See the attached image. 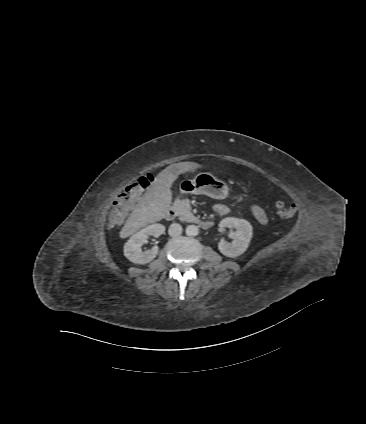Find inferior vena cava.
<instances>
[{
    "label": "inferior vena cava",
    "instance_id": "602c4592",
    "mask_svg": "<svg viewBox=\"0 0 366 424\" xmlns=\"http://www.w3.org/2000/svg\"><path fill=\"white\" fill-rule=\"evenodd\" d=\"M168 233L170 236H178L182 233V226L178 223H173L170 225Z\"/></svg>",
    "mask_w": 366,
    "mask_h": 424
}]
</instances>
